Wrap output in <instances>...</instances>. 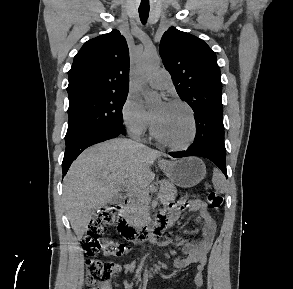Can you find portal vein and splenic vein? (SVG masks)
Listing matches in <instances>:
<instances>
[{"label": "portal vein and splenic vein", "mask_w": 293, "mask_h": 289, "mask_svg": "<svg viewBox=\"0 0 293 289\" xmlns=\"http://www.w3.org/2000/svg\"><path fill=\"white\" fill-rule=\"evenodd\" d=\"M129 190H132V191H134L135 193H140L141 191L140 190H135V189H131V188H129Z\"/></svg>", "instance_id": "18ae733b"}]
</instances>
